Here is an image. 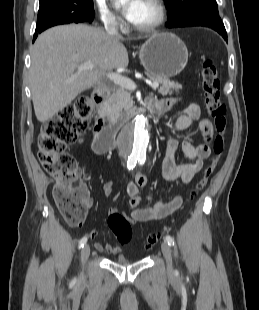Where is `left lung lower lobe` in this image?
<instances>
[{
	"instance_id": "0a47b994",
	"label": "left lung lower lobe",
	"mask_w": 259,
	"mask_h": 310,
	"mask_svg": "<svg viewBox=\"0 0 259 310\" xmlns=\"http://www.w3.org/2000/svg\"><path fill=\"white\" fill-rule=\"evenodd\" d=\"M188 26L209 27L217 31L227 41V33H226L223 23H215V22H209V21H203V20H191V21H186V22H183V23H180L174 26H168V27L173 28V27H188Z\"/></svg>"
}]
</instances>
